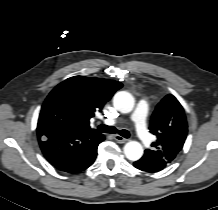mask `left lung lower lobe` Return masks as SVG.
<instances>
[{
  "label": "left lung lower lobe",
  "mask_w": 218,
  "mask_h": 210,
  "mask_svg": "<svg viewBox=\"0 0 218 210\" xmlns=\"http://www.w3.org/2000/svg\"><path fill=\"white\" fill-rule=\"evenodd\" d=\"M134 166L143 171L157 172L165 168L167 164L162 162V160L154 159V157L146 150L143 157L134 162Z\"/></svg>",
  "instance_id": "0a47b994"
}]
</instances>
